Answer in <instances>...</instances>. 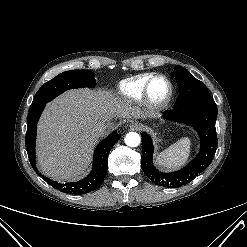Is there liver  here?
<instances>
[{
  "mask_svg": "<svg viewBox=\"0 0 247 247\" xmlns=\"http://www.w3.org/2000/svg\"><path fill=\"white\" fill-rule=\"evenodd\" d=\"M144 113L111 91L72 89L45 108L38 123L37 160L41 171L59 182L81 176L91 162L99 137L93 128L100 121L109 126L114 117L146 118Z\"/></svg>",
  "mask_w": 247,
  "mask_h": 247,
  "instance_id": "obj_1",
  "label": "liver"
}]
</instances>
